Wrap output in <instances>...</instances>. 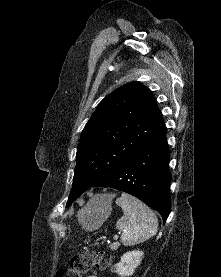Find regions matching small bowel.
I'll list each match as a JSON object with an SVG mask.
<instances>
[{
  "mask_svg": "<svg viewBox=\"0 0 221 277\" xmlns=\"http://www.w3.org/2000/svg\"><path fill=\"white\" fill-rule=\"evenodd\" d=\"M88 277H98V276H96V275H89Z\"/></svg>",
  "mask_w": 221,
  "mask_h": 277,
  "instance_id": "obj_1",
  "label": "small bowel"
}]
</instances>
